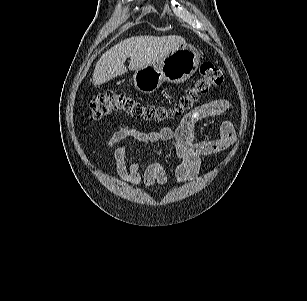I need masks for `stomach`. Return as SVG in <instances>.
Segmentation results:
<instances>
[{
	"mask_svg": "<svg viewBox=\"0 0 307 301\" xmlns=\"http://www.w3.org/2000/svg\"><path fill=\"white\" fill-rule=\"evenodd\" d=\"M200 53L192 45L183 43L174 47L170 53L157 63L137 69L133 83L142 93L155 92L163 82L183 83L197 70Z\"/></svg>",
	"mask_w": 307,
	"mask_h": 301,
	"instance_id": "obj_1",
	"label": "stomach"
}]
</instances>
